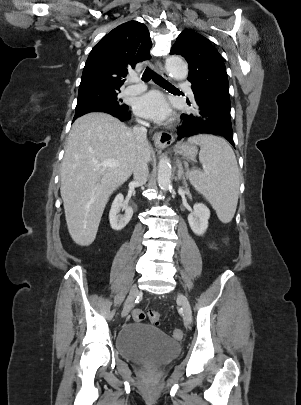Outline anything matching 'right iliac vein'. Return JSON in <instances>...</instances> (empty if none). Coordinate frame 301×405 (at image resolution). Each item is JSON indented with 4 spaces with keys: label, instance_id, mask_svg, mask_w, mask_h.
Listing matches in <instances>:
<instances>
[{
    "label": "right iliac vein",
    "instance_id": "obj_1",
    "mask_svg": "<svg viewBox=\"0 0 301 405\" xmlns=\"http://www.w3.org/2000/svg\"><path fill=\"white\" fill-rule=\"evenodd\" d=\"M138 293H139V290H138L137 285H133L130 289L128 299H127L125 306L123 308V311H122L123 317H126L129 314L130 310L132 309L133 302H134L135 298L137 297Z\"/></svg>",
    "mask_w": 301,
    "mask_h": 405
}]
</instances>
